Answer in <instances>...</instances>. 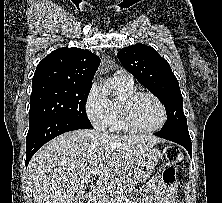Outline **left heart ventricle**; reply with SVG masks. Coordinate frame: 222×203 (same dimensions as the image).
<instances>
[{
	"label": "left heart ventricle",
	"mask_w": 222,
	"mask_h": 203,
	"mask_svg": "<svg viewBox=\"0 0 222 203\" xmlns=\"http://www.w3.org/2000/svg\"><path fill=\"white\" fill-rule=\"evenodd\" d=\"M133 116L144 128L157 126L162 120V112L158 104L150 97H141L133 105Z\"/></svg>",
	"instance_id": "b2bd125f"
}]
</instances>
